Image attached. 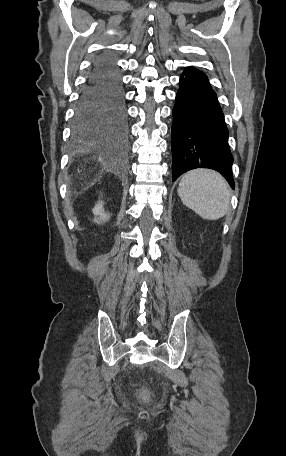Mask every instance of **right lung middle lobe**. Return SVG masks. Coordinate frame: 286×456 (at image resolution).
Listing matches in <instances>:
<instances>
[{
	"label": "right lung middle lobe",
	"instance_id": "right-lung-middle-lobe-1",
	"mask_svg": "<svg viewBox=\"0 0 286 456\" xmlns=\"http://www.w3.org/2000/svg\"><path fill=\"white\" fill-rule=\"evenodd\" d=\"M126 128H127L126 124H118V125H114V126L110 127V126L103 125V124L90 123L89 125L82 127L77 131L80 134H89V133H98V132H102V131L114 130L117 133H119L121 135L122 140H124L127 135Z\"/></svg>",
	"mask_w": 286,
	"mask_h": 456
}]
</instances>
